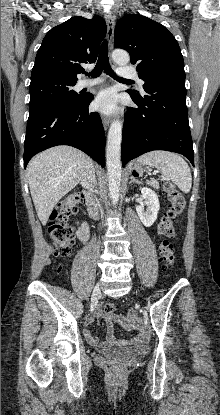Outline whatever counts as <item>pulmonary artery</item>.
<instances>
[{
    "label": "pulmonary artery",
    "instance_id": "pulmonary-artery-1",
    "mask_svg": "<svg viewBox=\"0 0 220 415\" xmlns=\"http://www.w3.org/2000/svg\"><path fill=\"white\" fill-rule=\"evenodd\" d=\"M117 74L122 77V78H134L137 79L138 84L140 85V87L142 88L144 85V81L142 79H140L137 75V73L135 72V70L131 69L130 67H119L117 69ZM103 79L102 78H93V79H85L80 81V83L78 84L79 88H86V87H91V86H95L98 85L100 83H102Z\"/></svg>",
    "mask_w": 220,
    "mask_h": 415
}]
</instances>
